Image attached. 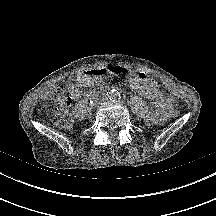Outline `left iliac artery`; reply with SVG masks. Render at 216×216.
I'll return each mask as SVG.
<instances>
[{"mask_svg": "<svg viewBox=\"0 0 216 216\" xmlns=\"http://www.w3.org/2000/svg\"><path fill=\"white\" fill-rule=\"evenodd\" d=\"M122 97L120 96V94L117 96V99L120 100Z\"/></svg>", "mask_w": 216, "mask_h": 216, "instance_id": "obj_1", "label": "left iliac artery"}]
</instances>
